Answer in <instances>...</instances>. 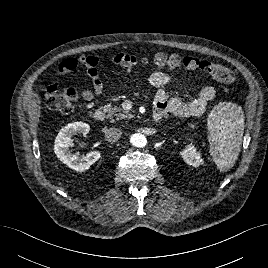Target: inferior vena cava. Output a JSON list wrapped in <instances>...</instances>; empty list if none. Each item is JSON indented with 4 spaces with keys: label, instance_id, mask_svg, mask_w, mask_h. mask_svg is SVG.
Returning <instances> with one entry per match:
<instances>
[{
    "label": "inferior vena cava",
    "instance_id": "1",
    "mask_svg": "<svg viewBox=\"0 0 268 268\" xmlns=\"http://www.w3.org/2000/svg\"><path fill=\"white\" fill-rule=\"evenodd\" d=\"M122 132L118 128H110L105 131V138L109 142H116L118 139L121 138Z\"/></svg>",
    "mask_w": 268,
    "mask_h": 268
}]
</instances>
